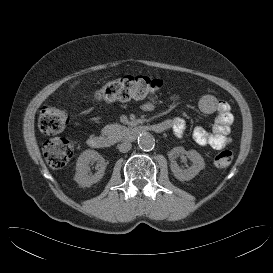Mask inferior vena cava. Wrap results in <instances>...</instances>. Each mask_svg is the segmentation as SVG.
<instances>
[{
	"instance_id": "obj_1",
	"label": "inferior vena cava",
	"mask_w": 273,
	"mask_h": 273,
	"mask_svg": "<svg viewBox=\"0 0 273 273\" xmlns=\"http://www.w3.org/2000/svg\"><path fill=\"white\" fill-rule=\"evenodd\" d=\"M132 145L129 142H123L118 145V149L122 153H126L131 149Z\"/></svg>"
}]
</instances>
